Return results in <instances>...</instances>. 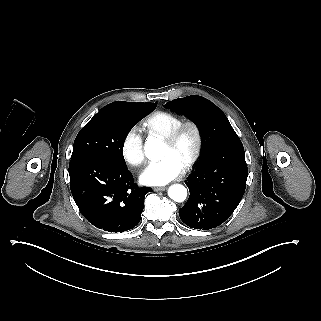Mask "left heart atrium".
<instances>
[{
	"label": "left heart atrium",
	"instance_id": "1",
	"mask_svg": "<svg viewBox=\"0 0 321 321\" xmlns=\"http://www.w3.org/2000/svg\"><path fill=\"white\" fill-rule=\"evenodd\" d=\"M184 173V167L178 158L167 155L163 159L149 163L140 174V181L145 185L162 186L177 178Z\"/></svg>",
	"mask_w": 321,
	"mask_h": 321
}]
</instances>
